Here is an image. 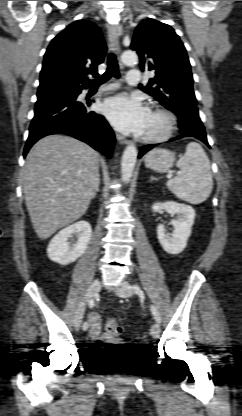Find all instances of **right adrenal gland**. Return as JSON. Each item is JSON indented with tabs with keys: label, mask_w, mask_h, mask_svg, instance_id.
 <instances>
[{
	"label": "right adrenal gland",
	"mask_w": 242,
	"mask_h": 416,
	"mask_svg": "<svg viewBox=\"0 0 242 416\" xmlns=\"http://www.w3.org/2000/svg\"><path fill=\"white\" fill-rule=\"evenodd\" d=\"M99 185H100V177L98 178V182L96 184L95 191L93 193V198H95L97 193L99 192Z\"/></svg>",
	"instance_id": "right-adrenal-gland-1"
}]
</instances>
